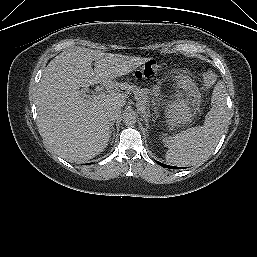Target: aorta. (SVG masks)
<instances>
[{
	"mask_svg": "<svg viewBox=\"0 0 257 257\" xmlns=\"http://www.w3.org/2000/svg\"><path fill=\"white\" fill-rule=\"evenodd\" d=\"M137 115L134 111H127L123 115V122L126 126H133L136 124Z\"/></svg>",
	"mask_w": 257,
	"mask_h": 257,
	"instance_id": "762f6f07",
	"label": "aorta"
}]
</instances>
